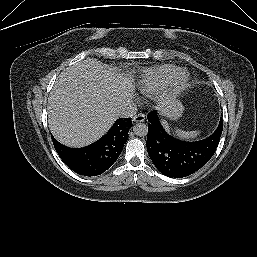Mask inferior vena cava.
Masks as SVG:
<instances>
[{
  "label": "inferior vena cava",
  "instance_id": "602c4592",
  "mask_svg": "<svg viewBox=\"0 0 257 257\" xmlns=\"http://www.w3.org/2000/svg\"><path fill=\"white\" fill-rule=\"evenodd\" d=\"M137 107L135 103L131 100H128L121 104L117 110V116L121 118H129L136 115Z\"/></svg>",
  "mask_w": 257,
  "mask_h": 257
}]
</instances>
